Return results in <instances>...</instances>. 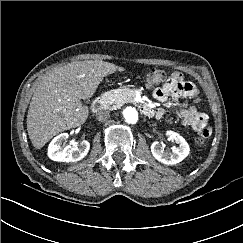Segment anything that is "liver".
I'll return each instance as SVG.
<instances>
[{
  "label": "liver",
  "mask_w": 243,
  "mask_h": 243,
  "mask_svg": "<svg viewBox=\"0 0 243 243\" xmlns=\"http://www.w3.org/2000/svg\"><path fill=\"white\" fill-rule=\"evenodd\" d=\"M124 70L102 60L74 61L50 71L40 81L30 102L27 131L41 149L56 134L83 124L88 115L81 99L93 96L103 78Z\"/></svg>",
  "instance_id": "6515ba94"
}]
</instances>
